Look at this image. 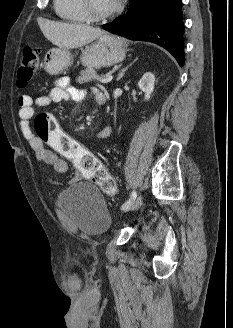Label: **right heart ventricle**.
<instances>
[{
    "instance_id": "right-heart-ventricle-1",
    "label": "right heart ventricle",
    "mask_w": 233,
    "mask_h": 328,
    "mask_svg": "<svg viewBox=\"0 0 233 328\" xmlns=\"http://www.w3.org/2000/svg\"><path fill=\"white\" fill-rule=\"evenodd\" d=\"M57 15L70 22H84L87 20L81 7L80 0H54Z\"/></svg>"
}]
</instances>
